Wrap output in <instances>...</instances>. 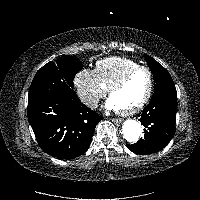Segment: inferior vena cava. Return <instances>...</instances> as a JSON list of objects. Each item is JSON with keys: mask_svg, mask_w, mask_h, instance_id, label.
<instances>
[{"mask_svg": "<svg viewBox=\"0 0 200 200\" xmlns=\"http://www.w3.org/2000/svg\"><path fill=\"white\" fill-rule=\"evenodd\" d=\"M98 101L99 100L94 97H87V98L82 99V102L92 109H95L98 107Z\"/></svg>", "mask_w": 200, "mask_h": 200, "instance_id": "602c4592", "label": "inferior vena cava"}]
</instances>
